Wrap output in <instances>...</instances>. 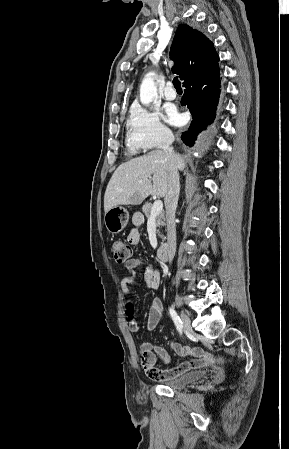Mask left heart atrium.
Segmentation results:
<instances>
[{"mask_svg": "<svg viewBox=\"0 0 289 449\" xmlns=\"http://www.w3.org/2000/svg\"><path fill=\"white\" fill-rule=\"evenodd\" d=\"M166 112V120L172 125H180L182 123L181 115L178 113L177 109L172 106L168 105L165 108Z\"/></svg>", "mask_w": 289, "mask_h": 449, "instance_id": "obj_1", "label": "left heart atrium"}]
</instances>
